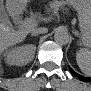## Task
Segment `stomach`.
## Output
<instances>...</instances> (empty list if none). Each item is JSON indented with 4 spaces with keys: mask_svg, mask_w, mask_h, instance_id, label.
<instances>
[{
    "mask_svg": "<svg viewBox=\"0 0 91 91\" xmlns=\"http://www.w3.org/2000/svg\"><path fill=\"white\" fill-rule=\"evenodd\" d=\"M69 3L76 9L80 10V28L83 35V40L86 45L91 39V17H90V2L85 0H70Z\"/></svg>",
    "mask_w": 91,
    "mask_h": 91,
    "instance_id": "0dacf381",
    "label": "stomach"
}]
</instances>
